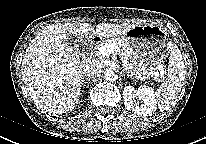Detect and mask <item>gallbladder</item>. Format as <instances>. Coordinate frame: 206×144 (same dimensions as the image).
Masks as SVG:
<instances>
[{
    "label": "gallbladder",
    "instance_id": "gallbladder-1",
    "mask_svg": "<svg viewBox=\"0 0 206 144\" xmlns=\"http://www.w3.org/2000/svg\"><path fill=\"white\" fill-rule=\"evenodd\" d=\"M73 36H72V34H70V33H67V37H66V41L71 45V44H75L76 46H78L79 47V45L78 44H76L77 43V40H73ZM75 48V47H74Z\"/></svg>",
    "mask_w": 206,
    "mask_h": 144
}]
</instances>
